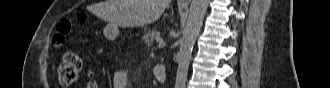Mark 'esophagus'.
Returning a JSON list of instances; mask_svg holds the SVG:
<instances>
[{"mask_svg": "<svg viewBox=\"0 0 330 88\" xmlns=\"http://www.w3.org/2000/svg\"><path fill=\"white\" fill-rule=\"evenodd\" d=\"M178 3L183 6H187L190 3V0H179Z\"/></svg>", "mask_w": 330, "mask_h": 88, "instance_id": "esophagus-1", "label": "esophagus"}]
</instances>
